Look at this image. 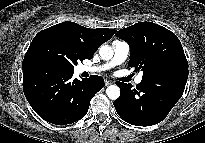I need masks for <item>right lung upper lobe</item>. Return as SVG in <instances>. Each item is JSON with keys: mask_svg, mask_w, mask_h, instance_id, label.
<instances>
[{"mask_svg": "<svg viewBox=\"0 0 205 143\" xmlns=\"http://www.w3.org/2000/svg\"><path fill=\"white\" fill-rule=\"evenodd\" d=\"M50 28L60 29L68 34L78 43L87 59H91L99 46L109 40L116 32V30L106 28L89 29L69 21Z\"/></svg>", "mask_w": 205, "mask_h": 143, "instance_id": "1", "label": "right lung upper lobe"}]
</instances>
